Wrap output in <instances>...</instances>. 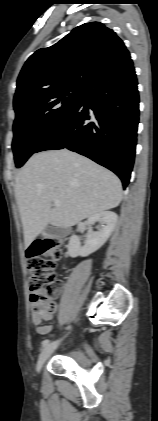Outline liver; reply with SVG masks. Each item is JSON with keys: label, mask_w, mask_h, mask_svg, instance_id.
<instances>
[{"label": "liver", "mask_w": 158, "mask_h": 421, "mask_svg": "<svg viewBox=\"0 0 158 421\" xmlns=\"http://www.w3.org/2000/svg\"><path fill=\"white\" fill-rule=\"evenodd\" d=\"M15 197L29 247L48 224L69 228L117 207L122 185L111 171L67 149L32 155L16 177ZM59 200V207L52 203Z\"/></svg>", "instance_id": "6515ba94"}]
</instances>
